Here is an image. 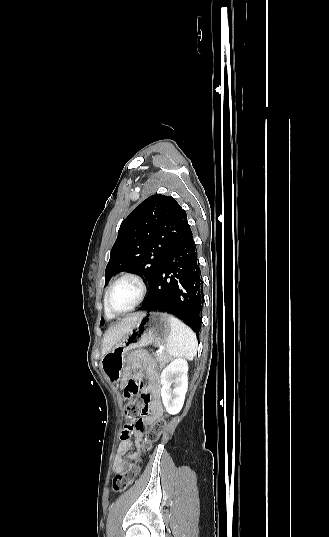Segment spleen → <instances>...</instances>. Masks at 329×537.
Wrapping results in <instances>:
<instances>
[{"instance_id":"obj_1","label":"spleen","mask_w":329,"mask_h":537,"mask_svg":"<svg viewBox=\"0 0 329 537\" xmlns=\"http://www.w3.org/2000/svg\"><path fill=\"white\" fill-rule=\"evenodd\" d=\"M170 326L171 332L166 345L168 353L173 357L182 356L192 360L198 347L196 335L174 316H170Z\"/></svg>"}]
</instances>
